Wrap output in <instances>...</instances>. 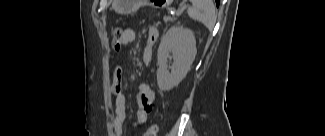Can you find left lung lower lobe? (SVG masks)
Instances as JSON below:
<instances>
[{
	"label": "left lung lower lobe",
	"instance_id": "left-lung-lower-lobe-1",
	"mask_svg": "<svg viewBox=\"0 0 325 136\" xmlns=\"http://www.w3.org/2000/svg\"><path fill=\"white\" fill-rule=\"evenodd\" d=\"M217 7L219 6L220 0H215Z\"/></svg>",
	"mask_w": 325,
	"mask_h": 136
}]
</instances>
